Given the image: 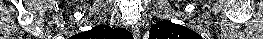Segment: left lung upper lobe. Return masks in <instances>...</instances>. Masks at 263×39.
<instances>
[{"label":"left lung upper lobe","instance_id":"1","mask_svg":"<svg viewBox=\"0 0 263 39\" xmlns=\"http://www.w3.org/2000/svg\"><path fill=\"white\" fill-rule=\"evenodd\" d=\"M149 39H202V37L187 27L164 20L151 27Z\"/></svg>","mask_w":263,"mask_h":39}]
</instances>
